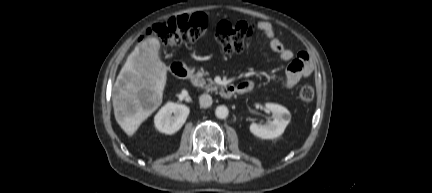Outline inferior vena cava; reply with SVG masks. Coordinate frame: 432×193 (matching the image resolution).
I'll return each instance as SVG.
<instances>
[{
    "label": "inferior vena cava",
    "instance_id": "1",
    "mask_svg": "<svg viewBox=\"0 0 432 193\" xmlns=\"http://www.w3.org/2000/svg\"><path fill=\"white\" fill-rule=\"evenodd\" d=\"M200 105L204 108L210 107L212 105V97L209 94H202L199 97Z\"/></svg>",
    "mask_w": 432,
    "mask_h": 193
}]
</instances>
